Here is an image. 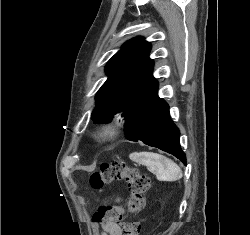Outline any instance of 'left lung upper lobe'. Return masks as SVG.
Segmentation results:
<instances>
[{"label": "left lung upper lobe", "mask_w": 250, "mask_h": 235, "mask_svg": "<svg viewBox=\"0 0 250 235\" xmlns=\"http://www.w3.org/2000/svg\"><path fill=\"white\" fill-rule=\"evenodd\" d=\"M150 43L141 37L127 41L106 65L108 79L96 94L92 118L97 123L110 122L129 112L147 85L153 80V61L149 58Z\"/></svg>", "instance_id": "left-lung-upper-lobe-1"}]
</instances>
